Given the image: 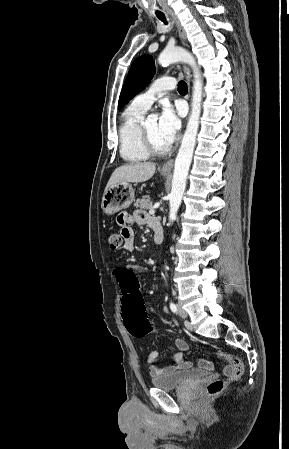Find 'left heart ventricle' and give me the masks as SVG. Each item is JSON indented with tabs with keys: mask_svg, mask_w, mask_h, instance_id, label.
<instances>
[{
	"mask_svg": "<svg viewBox=\"0 0 289 449\" xmlns=\"http://www.w3.org/2000/svg\"><path fill=\"white\" fill-rule=\"evenodd\" d=\"M146 127L149 131L150 137H151L154 145L158 149H165L166 147L169 146V144L163 139V137L160 134L157 118H152V119L147 120Z\"/></svg>",
	"mask_w": 289,
	"mask_h": 449,
	"instance_id": "left-heart-ventricle-1",
	"label": "left heart ventricle"
}]
</instances>
